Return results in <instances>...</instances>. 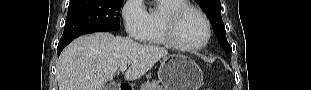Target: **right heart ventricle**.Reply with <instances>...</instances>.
Here are the masks:
<instances>
[{"mask_svg":"<svg viewBox=\"0 0 311 90\" xmlns=\"http://www.w3.org/2000/svg\"><path fill=\"white\" fill-rule=\"evenodd\" d=\"M186 4L188 3L184 0H159L158 7L148 12L147 31L143 41L156 45H168L163 32V17L169 11Z\"/></svg>","mask_w":311,"mask_h":90,"instance_id":"1","label":"right heart ventricle"}]
</instances>
